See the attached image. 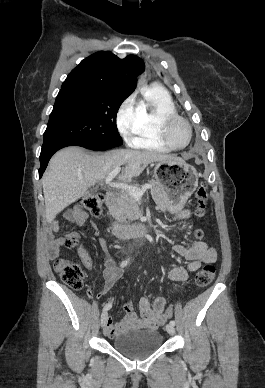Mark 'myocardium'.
Instances as JSON below:
<instances>
[{
	"mask_svg": "<svg viewBox=\"0 0 265 388\" xmlns=\"http://www.w3.org/2000/svg\"><path fill=\"white\" fill-rule=\"evenodd\" d=\"M150 91H162V90L151 89ZM174 121L181 122L185 126L188 134L191 135V128H190V125H189L188 121L185 118H183L182 116L177 115L176 113H170V114H166L161 119L160 127H159L160 136L163 139V141L168 146H170L171 148H183V147H186L188 145L189 141H190V138H189L188 142L184 146L179 147V146L174 145L172 143L170 137H169V126Z\"/></svg>",
	"mask_w": 265,
	"mask_h": 388,
	"instance_id": "1",
	"label": "myocardium"
}]
</instances>
